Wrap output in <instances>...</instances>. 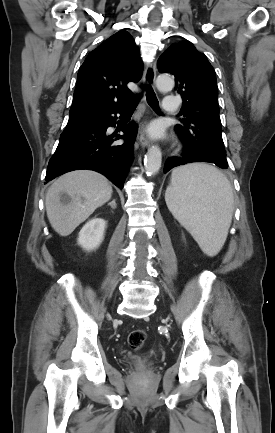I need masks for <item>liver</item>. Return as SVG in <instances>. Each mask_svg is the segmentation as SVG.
Listing matches in <instances>:
<instances>
[{
  "instance_id": "liver-1",
  "label": "liver",
  "mask_w": 275,
  "mask_h": 433,
  "mask_svg": "<svg viewBox=\"0 0 275 433\" xmlns=\"http://www.w3.org/2000/svg\"><path fill=\"white\" fill-rule=\"evenodd\" d=\"M112 187L101 174L77 170L59 177L46 194V212L52 228L60 236L70 235L98 207L111 199ZM66 193L69 202L61 201Z\"/></svg>"
}]
</instances>
